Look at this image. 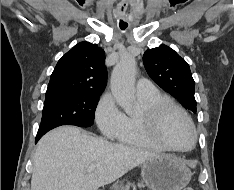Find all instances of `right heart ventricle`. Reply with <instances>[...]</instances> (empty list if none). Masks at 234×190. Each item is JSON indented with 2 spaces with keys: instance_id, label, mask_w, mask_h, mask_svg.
Listing matches in <instances>:
<instances>
[{
  "instance_id": "1",
  "label": "right heart ventricle",
  "mask_w": 234,
  "mask_h": 190,
  "mask_svg": "<svg viewBox=\"0 0 234 190\" xmlns=\"http://www.w3.org/2000/svg\"><path fill=\"white\" fill-rule=\"evenodd\" d=\"M141 110L137 114H128L124 116L123 125L117 134V140L127 146L149 149V150H163L150 135L141 113L147 110L155 103L162 100H170L167 96L156 91L148 95H137Z\"/></svg>"
}]
</instances>
